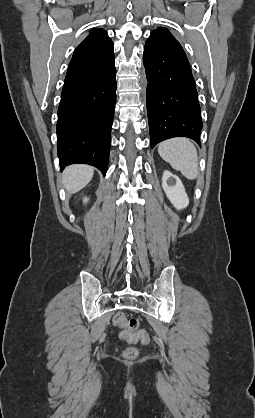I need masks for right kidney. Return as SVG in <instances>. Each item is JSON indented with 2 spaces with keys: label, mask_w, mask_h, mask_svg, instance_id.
<instances>
[{
  "label": "right kidney",
  "mask_w": 255,
  "mask_h": 418,
  "mask_svg": "<svg viewBox=\"0 0 255 418\" xmlns=\"http://www.w3.org/2000/svg\"><path fill=\"white\" fill-rule=\"evenodd\" d=\"M83 201H84V203H86V202L88 201V198H84V200H83Z\"/></svg>",
  "instance_id": "1"
}]
</instances>
